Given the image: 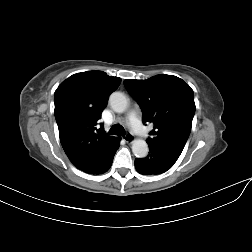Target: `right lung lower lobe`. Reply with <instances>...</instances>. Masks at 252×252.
<instances>
[{"mask_svg":"<svg viewBox=\"0 0 252 252\" xmlns=\"http://www.w3.org/2000/svg\"><path fill=\"white\" fill-rule=\"evenodd\" d=\"M119 142H120V137H118L116 140H114V142L110 145L109 156H108L106 162L98 171H96L92 174H95V175L103 174L109 170V168L111 167L112 162H113L114 154H115L116 150L119 148Z\"/></svg>","mask_w":252,"mask_h":252,"instance_id":"right-lung-lower-lobe-1","label":"right lung lower lobe"}]
</instances>
